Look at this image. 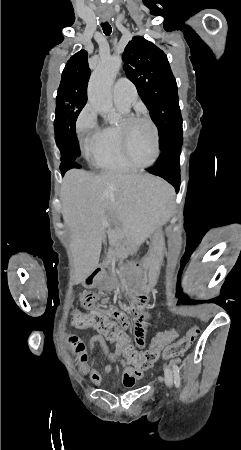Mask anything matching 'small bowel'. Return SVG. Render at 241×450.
<instances>
[{
    "label": "small bowel",
    "mask_w": 241,
    "mask_h": 450,
    "mask_svg": "<svg viewBox=\"0 0 241 450\" xmlns=\"http://www.w3.org/2000/svg\"><path fill=\"white\" fill-rule=\"evenodd\" d=\"M94 286H100L99 285H91L86 284V289H91V287ZM106 289L109 287L107 284L104 286ZM99 297L91 292H84L82 295V304L87 309H90L91 311H102L104 316H107L108 323L107 324H117L115 321H117L122 327H127L128 323L126 322L125 318L130 317V310L129 309H120L117 310L116 308L112 306H102L101 308H96L95 305L98 302ZM128 306L131 309V315L132 317L136 318V326L134 329L135 334V343L137 347H144L145 346V318L150 315V312L148 310L142 309V307H148L150 304V301L148 298H129L127 301ZM79 327H93L94 325H79L76 324ZM117 333H125L122 328L118 326V332ZM105 334L106 333H99L95 335L89 346L86 347L76 336H72L69 339L70 344L73 346L74 351L77 354L78 361L82 364H85L92 354L95 346H99L105 356L111 361V362H117L120 363L124 368V375H123V384L126 388H132L135 384L136 379L143 377V372L138 371L137 369H132L129 364L131 361H122L121 356H111V350L109 348L108 342L105 341ZM130 340V339H129ZM110 368H108L109 370ZM99 377V374L96 371H92L91 378L93 381H97V378Z\"/></svg>",
    "instance_id": "c3829d8e"
}]
</instances>
